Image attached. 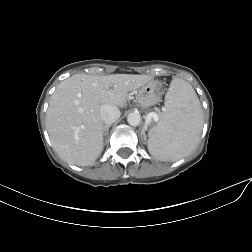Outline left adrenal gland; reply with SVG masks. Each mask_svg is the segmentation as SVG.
I'll return each mask as SVG.
<instances>
[{
    "mask_svg": "<svg viewBox=\"0 0 252 252\" xmlns=\"http://www.w3.org/2000/svg\"><path fill=\"white\" fill-rule=\"evenodd\" d=\"M142 134H143L144 140H146V135H145V133H142Z\"/></svg>",
    "mask_w": 252,
    "mask_h": 252,
    "instance_id": "obj_1",
    "label": "left adrenal gland"
}]
</instances>
